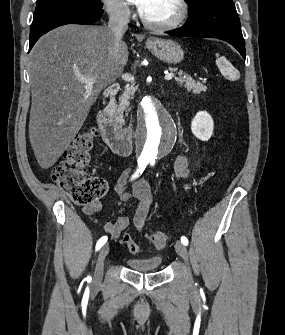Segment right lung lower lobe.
I'll return each mask as SVG.
<instances>
[{"instance_id": "1", "label": "right lung lower lobe", "mask_w": 285, "mask_h": 335, "mask_svg": "<svg viewBox=\"0 0 285 335\" xmlns=\"http://www.w3.org/2000/svg\"><path fill=\"white\" fill-rule=\"evenodd\" d=\"M103 11L73 6H56L34 14L29 37V51L35 42L48 31L71 23L91 24L97 21Z\"/></svg>"}]
</instances>
